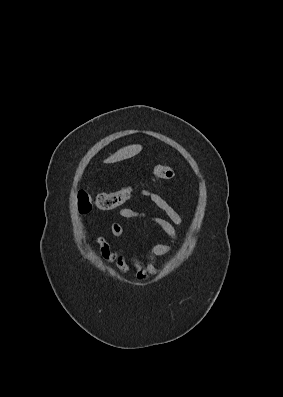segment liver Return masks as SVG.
I'll return each mask as SVG.
<instances>
[{"label":"liver","instance_id":"liver-1","mask_svg":"<svg viewBox=\"0 0 283 397\" xmlns=\"http://www.w3.org/2000/svg\"><path fill=\"white\" fill-rule=\"evenodd\" d=\"M142 150V146L139 144L129 145L121 148L116 153L107 158L105 163H114L124 159L131 158L137 155Z\"/></svg>","mask_w":283,"mask_h":397}]
</instances>
